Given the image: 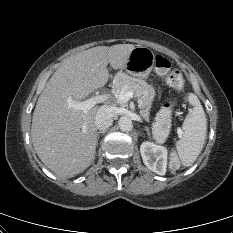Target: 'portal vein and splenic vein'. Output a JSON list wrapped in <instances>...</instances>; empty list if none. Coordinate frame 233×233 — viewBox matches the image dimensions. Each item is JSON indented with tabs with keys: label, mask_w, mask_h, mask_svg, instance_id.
<instances>
[{
	"label": "portal vein and splenic vein",
	"mask_w": 233,
	"mask_h": 233,
	"mask_svg": "<svg viewBox=\"0 0 233 233\" xmlns=\"http://www.w3.org/2000/svg\"><path fill=\"white\" fill-rule=\"evenodd\" d=\"M133 97V92L128 91L127 88L125 87L120 94H116L115 101L119 104H124L127 103L131 98ZM111 97L110 94H101L94 96L92 98H89L85 101H74L71 98L68 99V106L71 108H74L76 110H82L83 113H87L88 110H90L92 107H94L98 103H103L107 100H109Z\"/></svg>",
	"instance_id": "1"
}]
</instances>
